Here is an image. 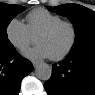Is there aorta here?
Here are the masks:
<instances>
[{
    "label": "aorta",
    "instance_id": "aorta-1",
    "mask_svg": "<svg viewBox=\"0 0 95 95\" xmlns=\"http://www.w3.org/2000/svg\"><path fill=\"white\" fill-rule=\"evenodd\" d=\"M35 74L38 79L47 81L52 75V68L46 63H41L36 66Z\"/></svg>",
    "mask_w": 95,
    "mask_h": 95
}]
</instances>
